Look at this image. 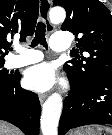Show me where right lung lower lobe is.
Here are the masks:
<instances>
[{
    "label": "right lung lower lobe",
    "instance_id": "1",
    "mask_svg": "<svg viewBox=\"0 0 112 135\" xmlns=\"http://www.w3.org/2000/svg\"><path fill=\"white\" fill-rule=\"evenodd\" d=\"M21 75L0 87V119L20 128L26 135L39 134L41 106L36 93L22 89Z\"/></svg>",
    "mask_w": 112,
    "mask_h": 135
}]
</instances>
